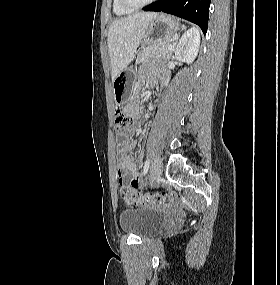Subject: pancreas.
Returning <instances> with one entry per match:
<instances>
[{"label":"pancreas","instance_id":"cf45deb5","mask_svg":"<svg viewBox=\"0 0 280 285\" xmlns=\"http://www.w3.org/2000/svg\"><path fill=\"white\" fill-rule=\"evenodd\" d=\"M171 44V39H165L146 46L139 54L137 62L142 63L152 58H162L164 60H168L172 54V51L168 49Z\"/></svg>","mask_w":280,"mask_h":285}]
</instances>
